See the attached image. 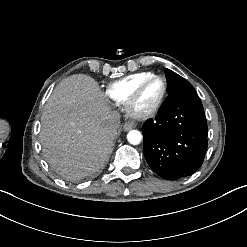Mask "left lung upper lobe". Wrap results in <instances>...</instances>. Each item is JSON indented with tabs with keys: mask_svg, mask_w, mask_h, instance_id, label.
<instances>
[{
	"mask_svg": "<svg viewBox=\"0 0 247 247\" xmlns=\"http://www.w3.org/2000/svg\"><path fill=\"white\" fill-rule=\"evenodd\" d=\"M166 75L168 79L167 91L169 96L165 99L161 106L178 98L198 97L196 90L186 79L169 69H166Z\"/></svg>",
	"mask_w": 247,
	"mask_h": 247,
	"instance_id": "5c2ea615",
	"label": "left lung upper lobe"
}]
</instances>
